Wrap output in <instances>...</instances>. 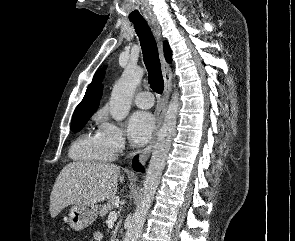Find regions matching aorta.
Instances as JSON below:
<instances>
[{"label":"aorta","instance_id":"obj_1","mask_svg":"<svg viewBox=\"0 0 295 241\" xmlns=\"http://www.w3.org/2000/svg\"><path fill=\"white\" fill-rule=\"evenodd\" d=\"M143 74L144 70L141 67L127 66L120 79L114 85L109 101V108L110 114L115 121L120 122L128 115L134 92ZM179 106V95L178 92L175 91L167 107L163 125L159 130L158 138L152 151L143 183L140 202L133 213L123 241H137L141 233L146 215L160 183L167 155L171 148Z\"/></svg>","mask_w":295,"mask_h":241}]
</instances>
